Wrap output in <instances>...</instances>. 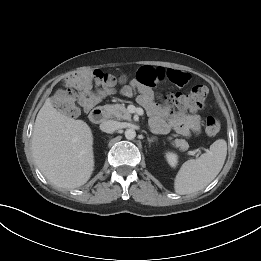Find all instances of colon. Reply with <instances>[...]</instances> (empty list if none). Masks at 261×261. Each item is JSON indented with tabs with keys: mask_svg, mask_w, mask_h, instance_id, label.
<instances>
[{
	"mask_svg": "<svg viewBox=\"0 0 261 261\" xmlns=\"http://www.w3.org/2000/svg\"><path fill=\"white\" fill-rule=\"evenodd\" d=\"M124 76H114L109 73L96 70L91 74V86L95 87L98 93H103L115 85L125 82ZM207 96V88L203 85H196L188 94L166 93L163 102L166 107L182 112L199 110L204 106ZM54 104L62 113L68 116H75L78 112L76 95L71 88L60 89L54 96ZM205 130L208 135H215L220 130V121L208 116L205 121Z\"/></svg>",
	"mask_w": 261,
	"mask_h": 261,
	"instance_id": "5ec220e1",
	"label": "colon"
}]
</instances>
